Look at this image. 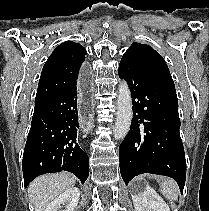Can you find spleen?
Wrapping results in <instances>:
<instances>
[{
	"label": "spleen",
	"mask_w": 209,
	"mask_h": 211,
	"mask_svg": "<svg viewBox=\"0 0 209 211\" xmlns=\"http://www.w3.org/2000/svg\"><path fill=\"white\" fill-rule=\"evenodd\" d=\"M162 187V194L168 200L175 201L178 199L179 188L175 180L171 178L162 177L160 181Z\"/></svg>",
	"instance_id": "spleen-1"
}]
</instances>
